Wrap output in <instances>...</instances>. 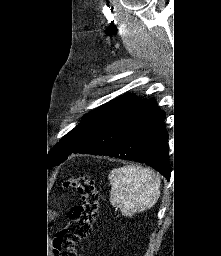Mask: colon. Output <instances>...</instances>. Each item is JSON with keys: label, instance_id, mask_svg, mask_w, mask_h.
<instances>
[{"label": "colon", "instance_id": "5ec220e1", "mask_svg": "<svg viewBox=\"0 0 221 256\" xmlns=\"http://www.w3.org/2000/svg\"><path fill=\"white\" fill-rule=\"evenodd\" d=\"M63 185L75 189L81 196V203L72 208L68 224L56 234L54 254L76 256L75 247L92 232L99 209V194L88 175L72 177Z\"/></svg>", "mask_w": 221, "mask_h": 256}]
</instances>
